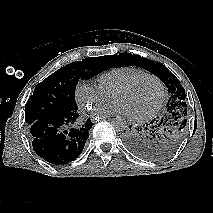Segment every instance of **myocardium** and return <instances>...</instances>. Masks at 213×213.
I'll return each instance as SVG.
<instances>
[{
  "label": "myocardium",
  "mask_w": 213,
  "mask_h": 213,
  "mask_svg": "<svg viewBox=\"0 0 213 213\" xmlns=\"http://www.w3.org/2000/svg\"><path fill=\"white\" fill-rule=\"evenodd\" d=\"M145 79H153L159 84L160 98H159V101L157 102V104L150 111H148L142 115H129V117L134 121L148 120V119L152 118L154 115H156L158 113V111L161 109V107L164 103L165 97H166V88H165L163 81L157 75L147 73V74L135 77L134 79L130 80L129 82L123 84L122 86L118 87L112 94V98H114V96L117 93L127 91Z\"/></svg>",
  "instance_id": "obj_1"
}]
</instances>
